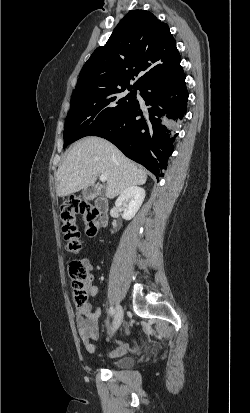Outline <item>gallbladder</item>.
<instances>
[{
  "label": "gallbladder",
  "mask_w": 250,
  "mask_h": 413,
  "mask_svg": "<svg viewBox=\"0 0 250 413\" xmlns=\"http://www.w3.org/2000/svg\"><path fill=\"white\" fill-rule=\"evenodd\" d=\"M94 194H95V188L93 186H89V187L85 188L82 192L83 198L85 200L93 199Z\"/></svg>",
  "instance_id": "gallbladder-1"
}]
</instances>
